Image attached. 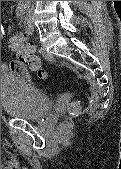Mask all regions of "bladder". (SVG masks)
Segmentation results:
<instances>
[{
	"label": "bladder",
	"mask_w": 121,
	"mask_h": 169,
	"mask_svg": "<svg viewBox=\"0 0 121 169\" xmlns=\"http://www.w3.org/2000/svg\"><path fill=\"white\" fill-rule=\"evenodd\" d=\"M1 105L5 114L24 120H38L52 107L51 98L42 90L16 75L1 76Z\"/></svg>",
	"instance_id": "bladder-1"
}]
</instances>
